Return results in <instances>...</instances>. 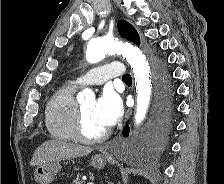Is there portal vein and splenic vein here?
Wrapping results in <instances>:
<instances>
[{
    "label": "portal vein and splenic vein",
    "instance_id": "1",
    "mask_svg": "<svg viewBox=\"0 0 224 184\" xmlns=\"http://www.w3.org/2000/svg\"><path fill=\"white\" fill-rule=\"evenodd\" d=\"M87 184H94L93 182H88Z\"/></svg>",
    "mask_w": 224,
    "mask_h": 184
}]
</instances>
